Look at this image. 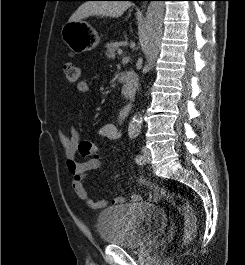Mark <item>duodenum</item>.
<instances>
[{
	"mask_svg": "<svg viewBox=\"0 0 245 265\" xmlns=\"http://www.w3.org/2000/svg\"><path fill=\"white\" fill-rule=\"evenodd\" d=\"M119 81L122 83L123 94L133 99L138 90V77L134 71H124L118 76Z\"/></svg>",
	"mask_w": 245,
	"mask_h": 265,
	"instance_id": "obj_1",
	"label": "duodenum"
}]
</instances>
